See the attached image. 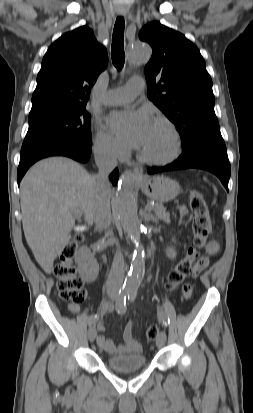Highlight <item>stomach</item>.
<instances>
[{"instance_id": "1", "label": "stomach", "mask_w": 253, "mask_h": 413, "mask_svg": "<svg viewBox=\"0 0 253 413\" xmlns=\"http://www.w3.org/2000/svg\"><path fill=\"white\" fill-rule=\"evenodd\" d=\"M142 192L158 202L173 200L180 193L177 181L165 176H154L139 183Z\"/></svg>"}]
</instances>
